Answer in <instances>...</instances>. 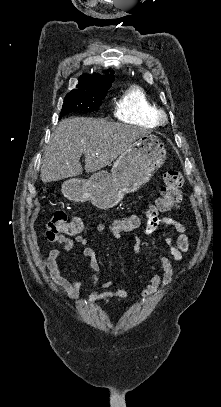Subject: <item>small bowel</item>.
Wrapping results in <instances>:
<instances>
[{
	"label": "small bowel",
	"instance_id": "small-bowel-1",
	"mask_svg": "<svg viewBox=\"0 0 221 407\" xmlns=\"http://www.w3.org/2000/svg\"><path fill=\"white\" fill-rule=\"evenodd\" d=\"M174 210L179 211L180 206L176 205ZM160 225L170 227L178 234V237L177 239H173L169 235L164 237V244L167 247L170 256L158 254L162 273H158L156 266L153 264L151 265L153 275L150 278L147 286L142 290L138 299L139 303L150 299L158 291L160 286H167L172 282L173 265L171 260L177 262L183 261L185 254L190 250V236L187 233L186 226L179 220L172 217H148L145 226L142 228V233L144 235H151ZM112 234L115 238L119 237V233L116 231H112ZM132 239L135 242L134 252L137 256H139L143 253L144 249L149 246V244L137 233L132 234ZM51 241L53 243H57L59 246L52 249L48 253L42 262V267L49 271L52 282L55 284V286L64 291L70 300H76L80 297L82 282L62 276L58 266V258L70 253L75 244H79L84 247L82 254L90 260L88 281L92 287V290L89 295L88 304L113 298L125 299L132 295L133 291L130 289L108 291L114 286V282L112 281L99 284V262L96 258L94 250L88 246L89 241L85 234H78L72 237L59 236Z\"/></svg>",
	"mask_w": 221,
	"mask_h": 407
}]
</instances>
